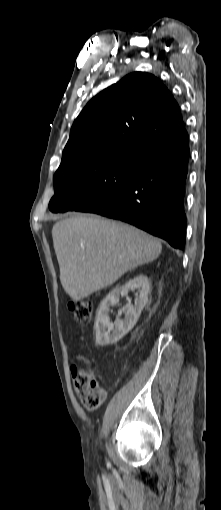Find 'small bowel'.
Instances as JSON below:
<instances>
[{"label":"small bowel","mask_w":221,"mask_h":510,"mask_svg":"<svg viewBox=\"0 0 221 510\" xmlns=\"http://www.w3.org/2000/svg\"><path fill=\"white\" fill-rule=\"evenodd\" d=\"M76 360L78 362H80L82 360V355L81 354H77L76 356ZM80 368L77 364H73L71 367H70V372H71V376L73 378V382H74V386H75V390L78 394V396L80 397V394H81V387L79 386L78 384V381H77V374L79 372Z\"/></svg>","instance_id":"small-bowel-1"}]
</instances>
